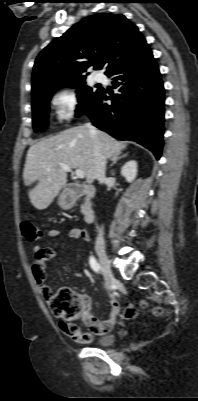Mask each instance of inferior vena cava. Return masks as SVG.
I'll return each mask as SVG.
<instances>
[{"mask_svg": "<svg viewBox=\"0 0 198 401\" xmlns=\"http://www.w3.org/2000/svg\"><path fill=\"white\" fill-rule=\"evenodd\" d=\"M85 126L89 129V132L93 138V150H94V158H95V178L99 181L100 184L104 183L106 180V158L102 154L101 145L96 136V129L90 123H86ZM103 227L99 229V234L96 238V244L103 245L104 237H103Z\"/></svg>", "mask_w": 198, "mask_h": 401, "instance_id": "602c4592", "label": "inferior vena cava"}]
</instances>
